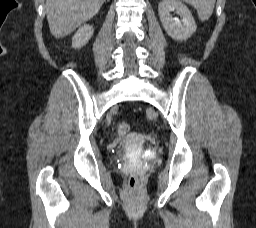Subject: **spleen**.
<instances>
[{"label": "spleen", "mask_w": 256, "mask_h": 228, "mask_svg": "<svg viewBox=\"0 0 256 228\" xmlns=\"http://www.w3.org/2000/svg\"><path fill=\"white\" fill-rule=\"evenodd\" d=\"M191 4L198 13V17L202 21L208 20L214 10L215 0H183Z\"/></svg>", "instance_id": "3e777b00"}]
</instances>
